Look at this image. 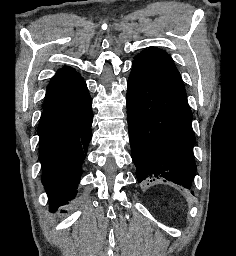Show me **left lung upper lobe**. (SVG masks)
<instances>
[{
	"instance_id": "5c2ea615",
	"label": "left lung upper lobe",
	"mask_w": 236,
	"mask_h": 256,
	"mask_svg": "<svg viewBox=\"0 0 236 256\" xmlns=\"http://www.w3.org/2000/svg\"><path fill=\"white\" fill-rule=\"evenodd\" d=\"M132 70L139 71L186 95L182 78L172 58L163 50L145 49L134 59Z\"/></svg>"
}]
</instances>
